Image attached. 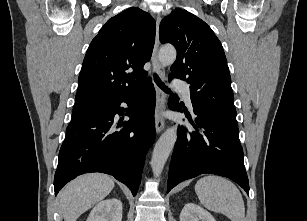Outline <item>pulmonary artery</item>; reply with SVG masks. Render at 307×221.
I'll list each match as a JSON object with an SVG mask.
<instances>
[{
  "mask_svg": "<svg viewBox=\"0 0 307 221\" xmlns=\"http://www.w3.org/2000/svg\"><path fill=\"white\" fill-rule=\"evenodd\" d=\"M175 87L181 91L186 100V103L188 104L189 107H191L192 102H191V93L189 86L184 82H176Z\"/></svg>",
  "mask_w": 307,
  "mask_h": 221,
  "instance_id": "obj_1",
  "label": "pulmonary artery"
}]
</instances>
